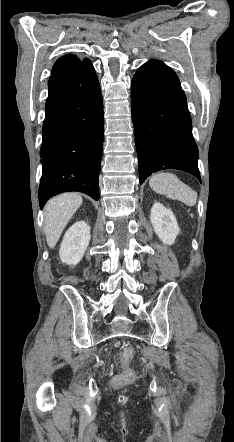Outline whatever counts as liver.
I'll use <instances>...</instances> for the list:
<instances>
[{"mask_svg":"<svg viewBox=\"0 0 234 442\" xmlns=\"http://www.w3.org/2000/svg\"><path fill=\"white\" fill-rule=\"evenodd\" d=\"M83 202L76 193H64L52 198L44 208V232L47 244L53 248L64 228Z\"/></svg>","mask_w":234,"mask_h":442,"instance_id":"liver-1","label":"liver"}]
</instances>
